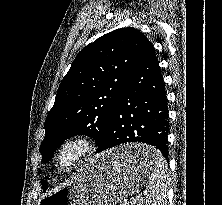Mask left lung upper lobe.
I'll use <instances>...</instances> for the list:
<instances>
[{"instance_id": "obj_1", "label": "left lung upper lobe", "mask_w": 222, "mask_h": 205, "mask_svg": "<svg viewBox=\"0 0 222 205\" xmlns=\"http://www.w3.org/2000/svg\"><path fill=\"white\" fill-rule=\"evenodd\" d=\"M149 40L139 30L120 28L87 45L63 78L55 103L47 115L42 162L66 139L85 134L96 140L104 135L127 78ZM43 190L48 183L41 180Z\"/></svg>"}]
</instances>
